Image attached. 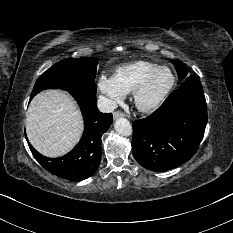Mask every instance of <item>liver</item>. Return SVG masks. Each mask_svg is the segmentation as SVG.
<instances>
[{
	"label": "liver",
	"instance_id": "1",
	"mask_svg": "<svg viewBox=\"0 0 233 233\" xmlns=\"http://www.w3.org/2000/svg\"><path fill=\"white\" fill-rule=\"evenodd\" d=\"M26 133L31 145L44 156H62L81 138V112L66 92L55 89L42 91L30 102Z\"/></svg>",
	"mask_w": 233,
	"mask_h": 233
}]
</instances>
